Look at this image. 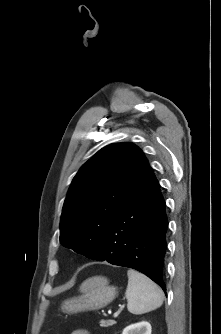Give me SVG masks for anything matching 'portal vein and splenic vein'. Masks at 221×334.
<instances>
[{"instance_id":"obj_1","label":"portal vein and splenic vein","mask_w":221,"mask_h":334,"mask_svg":"<svg viewBox=\"0 0 221 334\" xmlns=\"http://www.w3.org/2000/svg\"><path fill=\"white\" fill-rule=\"evenodd\" d=\"M121 310H122V307L119 309L118 312L114 313V317H117Z\"/></svg>"}]
</instances>
